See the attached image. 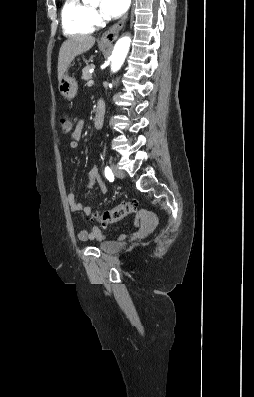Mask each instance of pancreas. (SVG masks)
<instances>
[{"mask_svg": "<svg viewBox=\"0 0 254 397\" xmlns=\"http://www.w3.org/2000/svg\"><path fill=\"white\" fill-rule=\"evenodd\" d=\"M94 68L93 64H87L83 69H82V79L83 80H89L91 79L92 75L89 72L90 69Z\"/></svg>", "mask_w": 254, "mask_h": 397, "instance_id": "obj_1", "label": "pancreas"}]
</instances>
